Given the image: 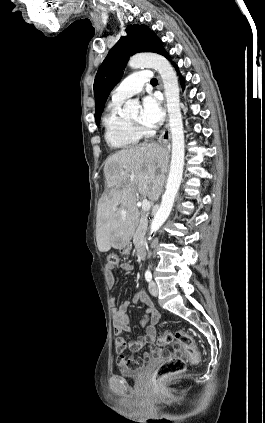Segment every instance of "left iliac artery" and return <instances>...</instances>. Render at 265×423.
Masks as SVG:
<instances>
[{"label": "left iliac artery", "mask_w": 265, "mask_h": 423, "mask_svg": "<svg viewBox=\"0 0 265 423\" xmlns=\"http://www.w3.org/2000/svg\"><path fill=\"white\" fill-rule=\"evenodd\" d=\"M145 279H146V281H148V282H150V281H151V279H152V274H151V272H150L149 270H147V271L145 272Z\"/></svg>", "instance_id": "obj_1"}]
</instances>
